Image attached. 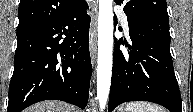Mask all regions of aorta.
Listing matches in <instances>:
<instances>
[{"mask_svg": "<svg viewBox=\"0 0 193 112\" xmlns=\"http://www.w3.org/2000/svg\"><path fill=\"white\" fill-rule=\"evenodd\" d=\"M113 61V0H99L97 98L105 109L112 74Z\"/></svg>", "mask_w": 193, "mask_h": 112, "instance_id": "1", "label": "aorta"}]
</instances>
